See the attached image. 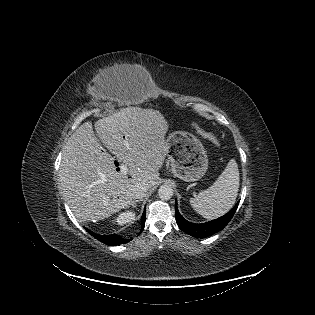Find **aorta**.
<instances>
[{
	"label": "aorta",
	"instance_id": "1",
	"mask_svg": "<svg viewBox=\"0 0 315 315\" xmlns=\"http://www.w3.org/2000/svg\"><path fill=\"white\" fill-rule=\"evenodd\" d=\"M158 196L162 199V200H169L172 198L173 196V189L171 186L169 185H162L159 187L158 189Z\"/></svg>",
	"mask_w": 315,
	"mask_h": 315
}]
</instances>
